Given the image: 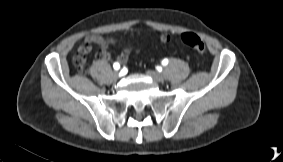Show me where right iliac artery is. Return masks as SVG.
Returning <instances> with one entry per match:
<instances>
[{"mask_svg":"<svg viewBox=\"0 0 283 162\" xmlns=\"http://www.w3.org/2000/svg\"><path fill=\"white\" fill-rule=\"evenodd\" d=\"M113 67H114L115 70H118L120 68V64L118 62H115L113 64Z\"/></svg>","mask_w":283,"mask_h":162,"instance_id":"1","label":"right iliac artery"}]
</instances>
